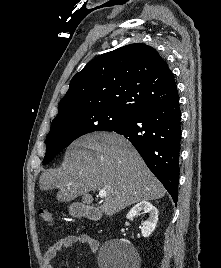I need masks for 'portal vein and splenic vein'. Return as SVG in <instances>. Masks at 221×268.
<instances>
[{
    "label": "portal vein and splenic vein",
    "instance_id": "18ae733b",
    "mask_svg": "<svg viewBox=\"0 0 221 268\" xmlns=\"http://www.w3.org/2000/svg\"><path fill=\"white\" fill-rule=\"evenodd\" d=\"M106 195H107V193H106L105 190L101 189V190L99 191V197H100V198H105Z\"/></svg>",
    "mask_w": 221,
    "mask_h": 268
}]
</instances>
